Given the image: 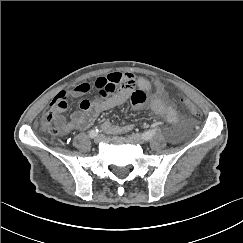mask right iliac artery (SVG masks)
<instances>
[{"mask_svg":"<svg viewBox=\"0 0 243 243\" xmlns=\"http://www.w3.org/2000/svg\"><path fill=\"white\" fill-rule=\"evenodd\" d=\"M98 133H99V129L98 128H94V129L89 131V136L91 138H94V137H96L98 135Z\"/></svg>","mask_w":243,"mask_h":243,"instance_id":"1","label":"right iliac artery"}]
</instances>
